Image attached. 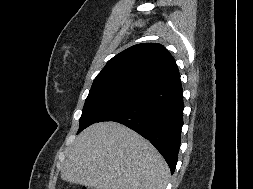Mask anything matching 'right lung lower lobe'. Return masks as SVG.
<instances>
[{"label":"right lung lower lobe","mask_w":253,"mask_h":189,"mask_svg":"<svg viewBox=\"0 0 253 189\" xmlns=\"http://www.w3.org/2000/svg\"><path fill=\"white\" fill-rule=\"evenodd\" d=\"M181 81L148 91L142 98L99 121L121 123L147 138L163 155L173 174L183 126Z\"/></svg>","instance_id":"98d812e1"}]
</instances>
